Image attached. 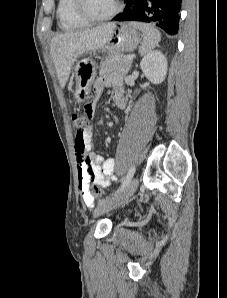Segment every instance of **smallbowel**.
Here are the masks:
<instances>
[{
    "label": "small bowel",
    "instance_id": "1",
    "mask_svg": "<svg viewBox=\"0 0 227 298\" xmlns=\"http://www.w3.org/2000/svg\"><path fill=\"white\" fill-rule=\"evenodd\" d=\"M113 85L115 87L112 98L116 106L119 108H124L126 101L119 83L111 78L103 77L94 86L95 97L92 104H82L83 112L85 115H96L95 102L98 100L100 94L106 86ZM118 103L120 106H118ZM91 122L95 121L94 117L90 118ZM92 127L84 134V145L85 150L83 156L76 151L77 158V171H78V181L80 196L83 202L87 206H93L94 197L89 191L90 183L95 184L100 188H107L110 185L111 180H116L115 176V161L111 158L104 159L103 156L92 152Z\"/></svg>",
    "mask_w": 227,
    "mask_h": 298
}]
</instances>
